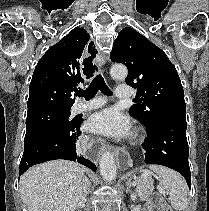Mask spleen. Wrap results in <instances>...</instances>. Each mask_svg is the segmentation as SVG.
<instances>
[{"mask_svg": "<svg viewBox=\"0 0 209 211\" xmlns=\"http://www.w3.org/2000/svg\"><path fill=\"white\" fill-rule=\"evenodd\" d=\"M150 169L158 175L160 185L169 194L171 206L177 211H183L187 207L188 187L184 178L174 170L164 166H150Z\"/></svg>", "mask_w": 209, "mask_h": 211, "instance_id": "3e777b00", "label": "spleen"}]
</instances>
